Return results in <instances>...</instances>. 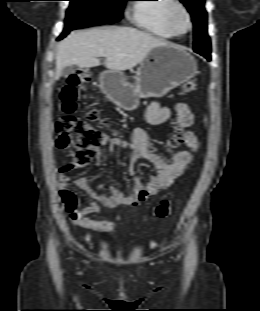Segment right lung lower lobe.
<instances>
[{"label": "right lung lower lobe", "mask_w": 260, "mask_h": 311, "mask_svg": "<svg viewBox=\"0 0 260 311\" xmlns=\"http://www.w3.org/2000/svg\"><path fill=\"white\" fill-rule=\"evenodd\" d=\"M68 34V33H67ZM66 34L62 33L58 39H62Z\"/></svg>", "instance_id": "98d812e1"}]
</instances>
